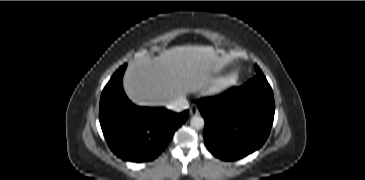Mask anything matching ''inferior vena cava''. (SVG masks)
I'll return each mask as SVG.
<instances>
[{"mask_svg":"<svg viewBox=\"0 0 365 180\" xmlns=\"http://www.w3.org/2000/svg\"><path fill=\"white\" fill-rule=\"evenodd\" d=\"M166 107L170 110L180 112L189 108L188 100L185 97H180L171 103L166 104Z\"/></svg>","mask_w":365,"mask_h":180,"instance_id":"602c4592","label":"inferior vena cava"}]
</instances>
